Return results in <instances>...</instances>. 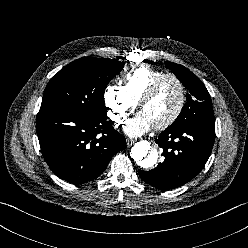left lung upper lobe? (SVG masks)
Masks as SVG:
<instances>
[{
    "mask_svg": "<svg viewBox=\"0 0 248 248\" xmlns=\"http://www.w3.org/2000/svg\"><path fill=\"white\" fill-rule=\"evenodd\" d=\"M165 65L189 91L181 113L170 127L214 122L210 95L202 81L183 65L169 61H166Z\"/></svg>",
    "mask_w": 248,
    "mask_h": 248,
    "instance_id": "1",
    "label": "left lung upper lobe"
}]
</instances>
